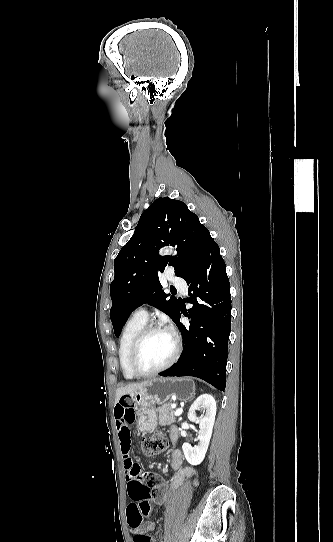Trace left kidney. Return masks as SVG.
Listing matches in <instances>:
<instances>
[{
  "mask_svg": "<svg viewBox=\"0 0 333 542\" xmlns=\"http://www.w3.org/2000/svg\"><path fill=\"white\" fill-rule=\"evenodd\" d=\"M195 410H204L205 416L203 418H197ZM216 402L211 394H201L195 402H193L189 412L188 420L199 424V436L198 446H191V444H183L182 450L184 456L191 464V466H198L205 458V454L208 450L209 442L212 436V430L216 416Z\"/></svg>",
  "mask_w": 333,
  "mask_h": 542,
  "instance_id": "left-kidney-1",
  "label": "left kidney"
}]
</instances>
